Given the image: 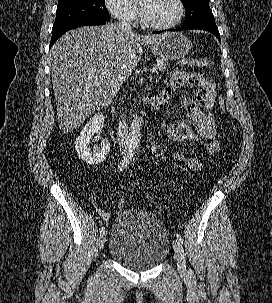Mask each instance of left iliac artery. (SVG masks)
<instances>
[{
	"mask_svg": "<svg viewBox=\"0 0 272 303\" xmlns=\"http://www.w3.org/2000/svg\"><path fill=\"white\" fill-rule=\"evenodd\" d=\"M138 145H137V152H138ZM176 237H177V239L181 242V243H183V238H182V236H181V234H176Z\"/></svg>",
	"mask_w": 272,
	"mask_h": 303,
	"instance_id": "obj_1",
	"label": "left iliac artery"
}]
</instances>
